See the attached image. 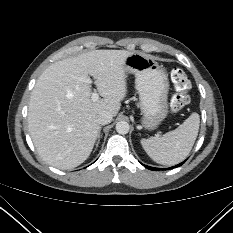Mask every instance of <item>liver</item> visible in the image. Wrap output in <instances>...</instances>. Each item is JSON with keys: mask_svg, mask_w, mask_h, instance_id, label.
<instances>
[{"mask_svg": "<svg viewBox=\"0 0 233 233\" xmlns=\"http://www.w3.org/2000/svg\"><path fill=\"white\" fill-rule=\"evenodd\" d=\"M126 50H93L51 64L38 78L28 107V128L39 155L67 170L83 163L98 137V117L116 116L127 93ZM89 75L103 97L91 99Z\"/></svg>", "mask_w": 233, "mask_h": 233, "instance_id": "6515ba94", "label": "liver"}]
</instances>
